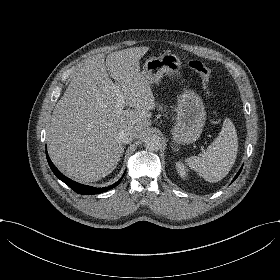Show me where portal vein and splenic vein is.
<instances>
[{"instance_id": "1", "label": "portal vein and splenic vein", "mask_w": 280, "mask_h": 280, "mask_svg": "<svg viewBox=\"0 0 280 280\" xmlns=\"http://www.w3.org/2000/svg\"><path fill=\"white\" fill-rule=\"evenodd\" d=\"M119 104H120V108H124V104H125V100L123 96H119V100H118Z\"/></svg>"}]
</instances>
